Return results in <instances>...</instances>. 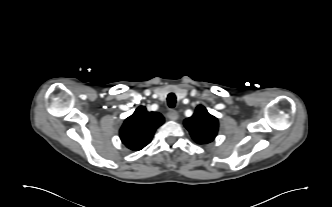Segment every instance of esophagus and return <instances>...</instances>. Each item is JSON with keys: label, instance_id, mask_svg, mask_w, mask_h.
I'll return each instance as SVG.
<instances>
[{"label": "esophagus", "instance_id": "1", "mask_svg": "<svg viewBox=\"0 0 332 207\" xmlns=\"http://www.w3.org/2000/svg\"><path fill=\"white\" fill-rule=\"evenodd\" d=\"M167 117L170 119V120H177L179 115H178V112L175 111V110H170L168 113H167Z\"/></svg>", "mask_w": 332, "mask_h": 207}]
</instances>
